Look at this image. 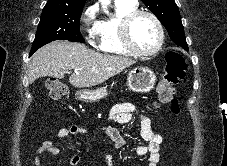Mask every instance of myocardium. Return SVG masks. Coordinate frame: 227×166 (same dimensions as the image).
<instances>
[{"instance_id": "1", "label": "myocardium", "mask_w": 227, "mask_h": 166, "mask_svg": "<svg viewBox=\"0 0 227 166\" xmlns=\"http://www.w3.org/2000/svg\"><path fill=\"white\" fill-rule=\"evenodd\" d=\"M141 16L149 17L155 24L158 32V39L155 46L150 50L139 49L131 39V27L133 23ZM119 38L126 50L136 56L148 57L157 54L163 47L164 29L158 17L150 11L136 10L125 16L119 27Z\"/></svg>"}]
</instances>
